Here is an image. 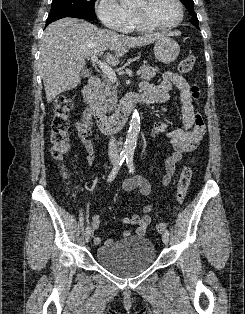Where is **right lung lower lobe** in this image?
Segmentation results:
<instances>
[{
  "instance_id": "obj_1",
  "label": "right lung lower lobe",
  "mask_w": 245,
  "mask_h": 314,
  "mask_svg": "<svg viewBox=\"0 0 245 314\" xmlns=\"http://www.w3.org/2000/svg\"><path fill=\"white\" fill-rule=\"evenodd\" d=\"M65 17H73V18H80V19H88V20H94L96 19L95 17H90L87 15L83 14H72V13H66V14H59V15H53V16H48L47 21H46V26L49 25L51 22L65 18Z\"/></svg>"
}]
</instances>
